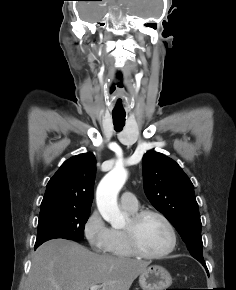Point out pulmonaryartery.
<instances>
[{"label":"pulmonary artery","mask_w":236,"mask_h":290,"mask_svg":"<svg viewBox=\"0 0 236 290\" xmlns=\"http://www.w3.org/2000/svg\"><path fill=\"white\" fill-rule=\"evenodd\" d=\"M120 204L123 208L136 210L138 207V200L133 192L126 191L121 195Z\"/></svg>","instance_id":"obj_1"}]
</instances>
